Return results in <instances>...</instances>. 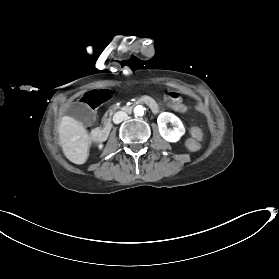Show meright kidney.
Returning a JSON list of instances; mask_svg holds the SVG:
<instances>
[{"label": "right kidney", "instance_id": "ca27d5eb", "mask_svg": "<svg viewBox=\"0 0 279 279\" xmlns=\"http://www.w3.org/2000/svg\"><path fill=\"white\" fill-rule=\"evenodd\" d=\"M103 148H104V144H103V143L98 144L97 150H98L99 152L102 151Z\"/></svg>", "mask_w": 279, "mask_h": 279}]
</instances>
